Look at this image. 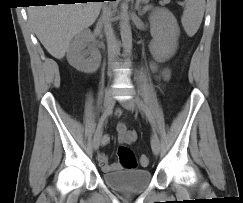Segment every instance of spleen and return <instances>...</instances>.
Here are the masks:
<instances>
[{"instance_id":"obj_1","label":"spleen","mask_w":243,"mask_h":203,"mask_svg":"<svg viewBox=\"0 0 243 203\" xmlns=\"http://www.w3.org/2000/svg\"><path fill=\"white\" fill-rule=\"evenodd\" d=\"M205 10V0H185V10L181 23L188 36L192 37L198 31Z\"/></svg>"}]
</instances>
